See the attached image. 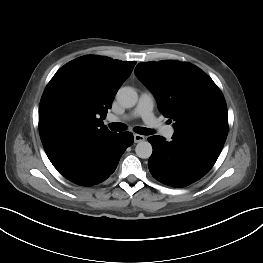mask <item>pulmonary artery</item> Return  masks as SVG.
<instances>
[{
	"label": "pulmonary artery",
	"mask_w": 263,
	"mask_h": 263,
	"mask_svg": "<svg viewBox=\"0 0 263 263\" xmlns=\"http://www.w3.org/2000/svg\"><path fill=\"white\" fill-rule=\"evenodd\" d=\"M154 99L149 93H142L137 106L130 115L123 117H117L114 115L109 116L110 121H118L121 119H130L135 117H141L143 121L152 128H158L163 136L171 138L174 134V127L163 125L153 113Z\"/></svg>",
	"instance_id": "1"
}]
</instances>
